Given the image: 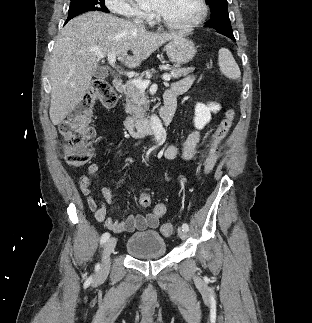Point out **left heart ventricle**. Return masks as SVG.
I'll return each mask as SVG.
<instances>
[{
  "label": "left heart ventricle",
  "mask_w": 312,
  "mask_h": 323,
  "mask_svg": "<svg viewBox=\"0 0 312 323\" xmlns=\"http://www.w3.org/2000/svg\"><path fill=\"white\" fill-rule=\"evenodd\" d=\"M200 4L197 0H166L164 7H161V14L167 18L168 22H188L190 18H197L200 12Z\"/></svg>",
  "instance_id": "left-heart-ventricle-1"
}]
</instances>
